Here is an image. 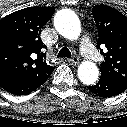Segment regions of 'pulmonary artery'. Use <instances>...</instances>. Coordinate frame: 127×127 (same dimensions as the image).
Masks as SVG:
<instances>
[{"instance_id":"1","label":"pulmonary artery","mask_w":127,"mask_h":127,"mask_svg":"<svg viewBox=\"0 0 127 127\" xmlns=\"http://www.w3.org/2000/svg\"><path fill=\"white\" fill-rule=\"evenodd\" d=\"M79 48L82 55L89 61L97 62L100 60V55L91 43L90 38L83 34L79 40Z\"/></svg>"}]
</instances>
